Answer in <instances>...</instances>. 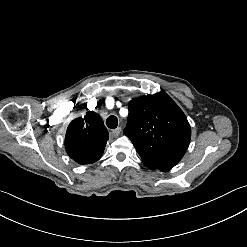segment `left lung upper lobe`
<instances>
[{
  "mask_svg": "<svg viewBox=\"0 0 247 247\" xmlns=\"http://www.w3.org/2000/svg\"><path fill=\"white\" fill-rule=\"evenodd\" d=\"M123 133L132 141L149 169L168 172L184 156L191 138L188 120L161 91L132 99Z\"/></svg>",
  "mask_w": 247,
  "mask_h": 247,
  "instance_id": "1",
  "label": "left lung upper lobe"
}]
</instances>
